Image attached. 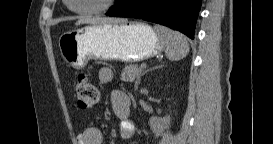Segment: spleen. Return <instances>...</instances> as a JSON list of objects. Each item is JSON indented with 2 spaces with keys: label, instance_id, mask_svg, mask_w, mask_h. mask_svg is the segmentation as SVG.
I'll list each match as a JSON object with an SVG mask.
<instances>
[{
  "label": "spleen",
  "instance_id": "spleen-1",
  "mask_svg": "<svg viewBox=\"0 0 273 144\" xmlns=\"http://www.w3.org/2000/svg\"><path fill=\"white\" fill-rule=\"evenodd\" d=\"M154 29L163 42L165 54L170 60L178 61L187 56L189 45L182 33L163 26H155Z\"/></svg>",
  "mask_w": 273,
  "mask_h": 144
}]
</instances>
